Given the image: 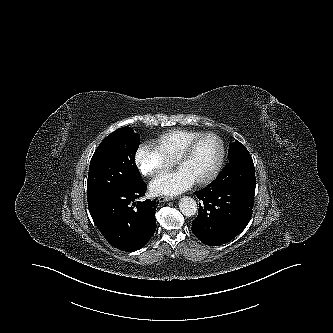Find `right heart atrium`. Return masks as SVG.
Returning a JSON list of instances; mask_svg holds the SVG:
<instances>
[{"label":"right heart atrium","instance_id":"right-heart-atrium-1","mask_svg":"<svg viewBox=\"0 0 333 333\" xmlns=\"http://www.w3.org/2000/svg\"><path fill=\"white\" fill-rule=\"evenodd\" d=\"M134 162L139 172L150 178L158 177L173 166L172 161L147 145H142L136 150Z\"/></svg>","mask_w":333,"mask_h":333}]
</instances>
